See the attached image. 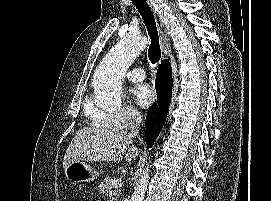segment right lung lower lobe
Returning <instances> with one entry per match:
<instances>
[{"label":"right lung lower lobe","mask_w":271,"mask_h":201,"mask_svg":"<svg viewBox=\"0 0 271 201\" xmlns=\"http://www.w3.org/2000/svg\"><path fill=\"white\" fill-rule=\"evenodd\" d=\"M156 92L157 104L149 108L145 124V139L149 147H152L165 123L171 101L172 71L168 60H163L157 70Z\"/></svg>","instance_id":"98d812e1"}]
</instances>
